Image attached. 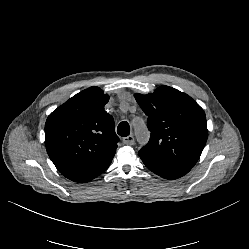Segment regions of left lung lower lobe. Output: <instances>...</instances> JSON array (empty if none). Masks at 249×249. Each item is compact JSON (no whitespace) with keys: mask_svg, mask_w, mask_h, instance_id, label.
<instances>
[{"mask_svg":"<svg viewBox=\"0 0 249 249\" xmlns=\"http://www.w3.org/2000/svg\"><path fill=\"white\" fill-rule=\"evenodd\" d=\"M142 161L149 170L166 179H177L190 171V169L173 166L157 159H142Z\"/></svg>","mask_w":249,"mask_h":249,"instance_id":"0a47b994","label":"left lung lower lobe"}]
</instances>
